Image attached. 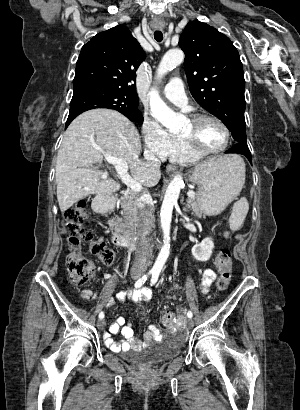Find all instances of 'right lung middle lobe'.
<instances>
[{"label": "right lung middle lobe", "mask_w": 300, "mask_h": 410, "mask_svg": "<svg viewBox=\"0 0 300 410\" xmlns=\"http://www.w3.org/2000/svg\"><path fill=\"white\" fill-rule=\"evenodd\" d=\"M95 108L115 109L133 122H143V116L138 107H131L130 101L123 95L94 84H74L67 122L82 112Z\"/></svg>", "instance_id": "dd1d6c3e"}]
</instances>
